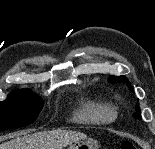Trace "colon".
I'll list each match as a JSON object with an SVG mask.
<instances>
[{"label":"colon","mask_w":155,"mask_h":149,"mask_svg":"<svg viewBox=\"0 0 155 149\" xmlns=\"http://www.w3.org/2000/svg\"><path fill=\"white\" fill-rule=\"evenodd\" d=\"M120 149H136V147L132 142L124 141L121 143Z\"/></svg>","instance_id":"5ec220e1"}]
</instances>
